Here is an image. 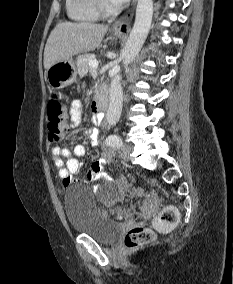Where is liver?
<instances>
[{"label":"liver","mask_w":233,"mask_h":284,"mask_svg":"<svg viewBox=\"0 0 233 284\" xmlns=\"http://www.w3.org/2000/svg\"><path fill=\"white\" fill-rule=\"evenodd\" d=\"M107 30V26L85 22L57 24L44 49V68L48 70L59 61L97 48Z\"/></svg>","instance_id":"6515ba94"}]
</instances>
